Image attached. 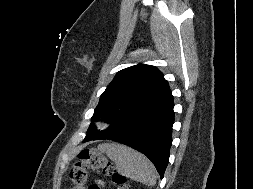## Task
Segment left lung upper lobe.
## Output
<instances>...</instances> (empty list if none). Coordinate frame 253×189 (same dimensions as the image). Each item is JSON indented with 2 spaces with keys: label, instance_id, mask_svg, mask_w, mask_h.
I'll list each match as a JSON object with an SVG mask.
<instances>
[{
  "label": "left lung upper lobe",
  "instance_id": "5c2ea615",
  "mask_svg": "<svg viewBox=\"0 0 253 189\" xmlns=\"http://www.w3.org/2000/svg\"><path fill=\"white\" fill-rule=\"evenodd\" d=\"M168 82L154 66L138 64L119 71L100 96L93 121L105 115L111 125L97 131L92 123L87 135L111 131L144 109L159 102L170 92Z\"/></svg>",
  "mask_w": 253,
  "mask_h": 189
}]
</instances>
